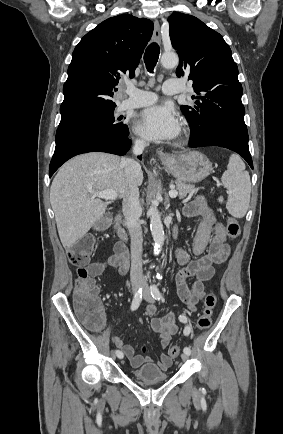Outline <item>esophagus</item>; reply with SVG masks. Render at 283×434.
<instances>
[{
  "mask_svg": "<svg viewBox=\"0 0 283 434\" xmlns=\"http://www.w3.org/2000/svg\"><path fill=\"white\" fill-rule=\"evenodd\" d=\"M153 38L157 43L161 42V33H160V25L158 21H154V32H153ZM159 157L161 161L166 162L172 159V156L170 153L167 152H159Z\"/></svg>",
  "mask_w": 283,
  "mask_h": 434,
  "instance_id": "esophagus-1",
  "label": "esophagus"
}]
</instances>
